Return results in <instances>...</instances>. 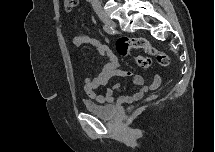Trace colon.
<instances>
[{
  "label": "colon",
  "mask_w": 215,
  "mask_h": 152,
  "mask_svg": "<svg viewBox=\"0 0 215 152\" xmlns=\"http://www.w3.org/2000/svg\"><path fill=\"white\" fill-rule=\"evenodd\" d=\"M64 8L67 12H71L77 5V0H64ZM117 52L121 56H128L132 48L143 49L147 52V56H136L135 61L141 68L151 66L152 57L156 59L161 66L169 65L170 59L167 53L155 49L147 40L143 38H124L120 39L116 45Z\"/></svg>",
  "instance_id": "1"
}]
</instances>
